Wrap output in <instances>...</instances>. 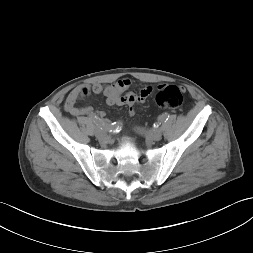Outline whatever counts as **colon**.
Wrapping results in <instances>:
<instances>
[{
  "label": "colon",
  "instance_id": "colon-1",
  "mask_svg": "<svg viewBox=\"0 0 253 253\" xmlns=\"http://www.w3.org/2000/svg\"><path fill=\"white\" fill-rule=\"evenodd\" d=\"M87 95V90H82L78 96V98H83ZM156 103L159 107L169 109V110H176L178 109L183 102V95L180 88L174 85L162 87L157 95H156Z\"/></svg>",
  "mask_w": 253,
  "mask_h": 253
}]
</instances>
